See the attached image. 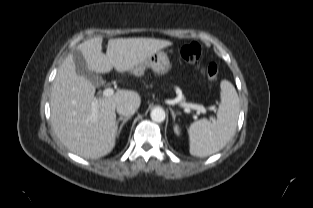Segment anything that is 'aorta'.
Returning <instances> with one entry per match:
<instances>
[{
  "label": "aorta",
  "mask_w": 313,
  "mask_h": 208,
  "mask_svg": "<svg viewBox=\"0 0 313 208\" xmlns=\"http://www.w3.org/2000/svg\"><path fill=\"white\" fill-rule=\"evenodd\" d=\"M150 117L154 122H163L165 120V111L161 107L152 109Z\"/></svg>",
  "instance_id": "aorta-1"
}]
</instances>
